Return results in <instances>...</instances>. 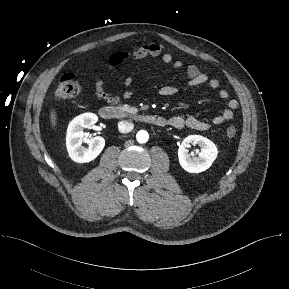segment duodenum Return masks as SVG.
Returning <instances> with one entry per match:
<instances>
[{
  "mask_svg": "<svg viewBox=\"0 0 289 289\" xmlns=\"http://www.w3.org/2000/svg\"><path fill=\"white\" fill-rule=\"evenodd\" d=\"M99 116L104 120L133 119L158 127H163L167 124V120L160 115L131 113L116 105H106L101 107L99 110Z\"/></svg>",
  "mask_w": 289,
  "mask_h": 289,
  "instance_id": "obj_1",
  "label": "duodenum"
}]
</instances>
